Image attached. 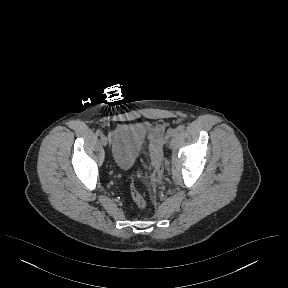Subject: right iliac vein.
Instances as JSON below:
<instances>
[{"mask_svg": "<svg viewBox=\"0 0 288 288\" xmlns=\"http://www.w3.org/2000/svg\"><path fill=\"white\" fill-rule=\"evenodd\" d=\"M101 143L103 146H106L108 143V139L106 136H101Z\"/></svg>", "mask_w": 288, "mask_h": 288, "instance_id": "obj_1", "label": "right iliac vein"}]
</instances>
